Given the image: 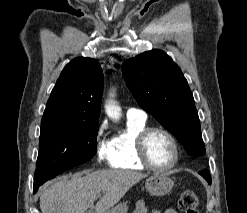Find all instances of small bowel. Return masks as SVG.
Returning a JSON list of instances; mask_svg holds the SVG:
<instances>
[{"instance_id":"small-bowel-1","label":"small bowel","mask_w":247,"mask_h":213,"mask_svg":"<svg viewBox=\"0 0 247 213\" xmlns=\"http://www.w3.org/2000/svg\"><path fill=\"white\" fill-rule=\"evenodd\" d=\"M134 213H161L158 210L151 209L145 201H139L137 203ZM164 213H178L174 209H167Z\"/></svg>"}]
</instances>
